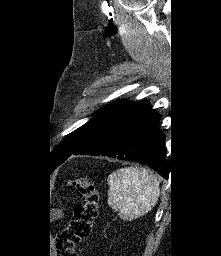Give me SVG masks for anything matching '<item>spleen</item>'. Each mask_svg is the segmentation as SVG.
<instances>
[{"label":"spleen","mask_w":221,"mask_h":256,"mask_svg":"<svg viewBox=\"0 0 221 256\" xmlns=\"http://www.w3.org/2000/svg\"><path fill=\"white\" fill-rule=\"evenodd\" d=\"M108 204L124 220H133L154 207L159 197L157 177L138 167L121 168L108 177Z\"/></svg>","instance_id":"obj_1"}]
</instances>
